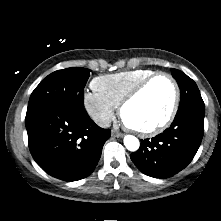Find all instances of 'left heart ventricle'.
Masks as SVG:
<instances>
[{
	"instance_id": "left-heart-ventricle-1",
	"label": "left heart ventricle",
	"mask_w": 221,
	"mask_h": 221,
	"mask_svg": "<svg viewBox=\"0 0 221 221\" xmlns=\"http://www.w3.org/2000/svg\"><path fill=\"white\" fill-rule=\"evenodd\" d=\"M173 96L171 83L164 77L157 78L125 108V122L137 129L156 126L167 116Z\"/></svg>"
}]
</instances>
